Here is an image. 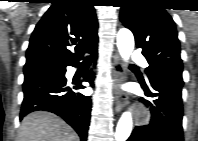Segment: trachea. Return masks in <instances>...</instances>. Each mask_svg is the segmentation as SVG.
<instances>
[{
	"mask_svg": "<svg viewBox=\"0 0 198 141\" xmlns=\"http://www.w3.org/2000/svg\"><path fill=\"white\" fill-rule=\"evenodd\" d=\"M91 61H92V59L88 56L84 59L85 63H90Z\"/></svg>",
	"mask_w": 198,
	"mask_h": 141,
	"instance_id": "1",
	"label": "trachea"
}]
</instances>
